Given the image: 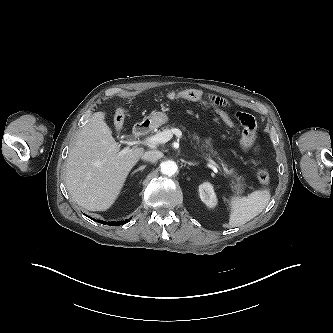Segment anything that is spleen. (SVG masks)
I'll return each instance as SVG.
<instances>
[{"mask_svg": "<svg viewBox=\"0 0 333 333\" xmlns=\"http://www.w3.org/2000/svg\"><path fill=\"white\" fill-rule=\"evenodd\" d=\"M270 196L268 190H258L247 197H232L229 226H241L259 215L269 203Z\"/></svg>", "mask_w": 333, "mask_h": 333, "instance_id": "1", "label": "spleen"}]
</instances>
